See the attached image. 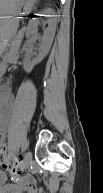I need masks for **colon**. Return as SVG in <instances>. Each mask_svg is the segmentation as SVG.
<instances>
[{"label":"colon","instance_id":"obj_1","mask_svg":"<svg viewBox=\"0 0 103 193\" xmlns=\"http://www.w3.org/2000/svg\"><path fill=\"white\" fill-rule=\"evenodd\" d=\"M0 164L3 169L12 172L13 174L19 175L23 172L21 162L7 152L4 145H2Z\"/></svg>","mask_w":103,"mask_h":193}]
</instances>
